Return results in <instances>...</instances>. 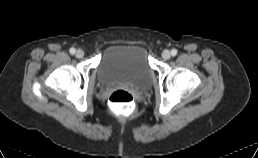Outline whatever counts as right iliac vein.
Instances as JSON below:
<instances>
[{
	"label": "right iliac vein",
	"mask_w": 258,
	"mask_h": 158,
	"mask_svg": "<svg viewBox=\"0 0 258 158\" xmlns=\"http://www.w3.org/2000/svg\"><path fill=\"white\" fill-rule=\"evenodd\" d=\"M84 56V51L82 49H78L76 51V57L77 58H82Z\"/></svg>",
	"instance_id": "right-iliac-vein-1"
}]
</instances>
